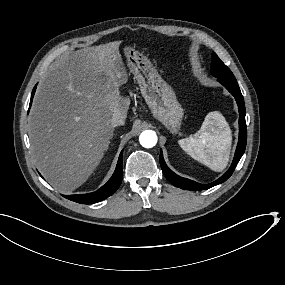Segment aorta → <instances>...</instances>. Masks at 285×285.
Wrapping results in <instances>:
<instances>
[{"label": "aorta", "instance_id": "762f6f07", "mask_svg": "<svg viewBox=\"0 0 285 285\" xmlns=\"http://www.w3.org/2000/svg\"><path fill=\"white\" fill-rule=\"evenodd\" d=\"M139 141L144 148H153L157 144V135L154 131L146 130L140 134Z\"/></svg>", "mask_w": 285, "mask_h": 285}]
</instances>
